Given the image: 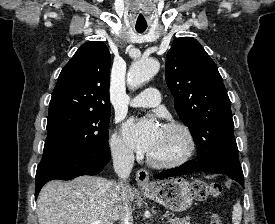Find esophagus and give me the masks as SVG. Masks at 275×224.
<instances>
[{"mask_svg":"<svg viewBox=\"0 0 275 224\" xmlns=\"http://www.w3.org/2000/svg\"><path fill=\"white\" fill-rule=\"evenodd\" d=\"M136 181L139 187L141 188H150L151 183L149 180V173L145 169H140L136 173Z\"/></svg>","mask_w":275,"mask_h":224,"instance_id":"esophagus-1","label":"esophagus"}]
</instances>
